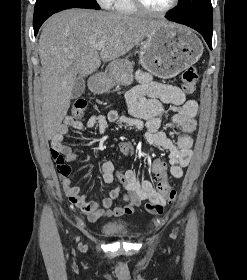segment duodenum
<instances>
[{
	"label": "duodenum",
	"instance_id": "1",
	"mask_svg": "<svg viewBox=\"0 0 247 280\" xmlns=\"http://www.w3.org/2000/svg\"><path fill=\"white\" fill-rule=\"evenodd\" d=\"M97 76L98 77L92 83L94 89H98L100 84V74H97Z\"/></svg>",
	"mask_w": 247,
	"mask_h": 280
}]
</instances>
